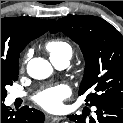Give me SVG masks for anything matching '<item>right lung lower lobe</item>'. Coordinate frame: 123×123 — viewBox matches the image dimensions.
Listing matches in <instances>:
<instances>
[{"label": "right lung lower lobe", "mask_w": 123, "mask_h": 123, "mask_svg": "<svg viewBox=\"0 0 123 123\" xmlns=\"http://www.w3.org/2000/svg\"><path fill=\"white\" fill-rule=\"evenodd\" d=\"M44 114L39 110L24 106L18 111L11 110L1 100V123H43Z\"/></svg>", "instance_id": "obj_1"}]
</instances>
